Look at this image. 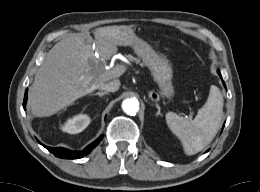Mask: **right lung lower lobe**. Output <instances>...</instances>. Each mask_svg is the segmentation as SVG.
<instances>
[{"mask_svg": "<svg viewBox=\"0 0 260 192\" xmlns=\"http://www.w3.org/2000/svg\"><path fill=\"white\" fill-rule=\"evenodd\" d=\"M27 101V90L25 92L24 96V102H23V107L25 109ZM103 136H100L97 140H95L93 143L88 145L84 150L82 151H71L65 148L57 147V148H52V147H47L44 146L46 149H48L51 153H53L55 156L59 158H64V159H78L83 157L84 155L89 154L97 145L98 143L102 140Z\"/></svg>", "mask_w": 260, "mask_h": 192, "instance_id": "1", "label": "right lung lower lobe"}]
</instances>
